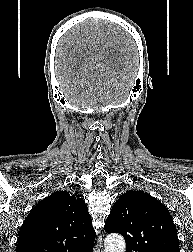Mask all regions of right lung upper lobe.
I'll list each match as a JSON object with an SVG mask.
<instances>
[{
	"label": "right lung upper lobe",
	"instance_id": "right-lung-upper-lobe-1",
	"mask_svg": "<svg viewBox=\"0 0 193 252\" xmlns=\"http://www.w3.org/2000/svg\"><path fill=\"white\" fill-rule=\"evenodd\" d=\"M94 240L85 201L60 191L30 211L19 231L17 252H91Z\"/></svg>",
	"mask_w": 193,
	"mask_h": 252
}]
</instances>
